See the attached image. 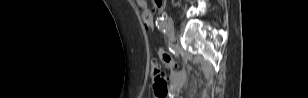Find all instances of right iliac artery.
I'll return each mask as SVG.
<instances>
[{"mask_svg": "<svg viewBox=\"0 0 308 98\" xmlns=\"http://www.w3.org/2000/svg\"><path fill=\"white\" fill-rule=\"evenodd\" d=\"M156 26H157L158 29H159L160 31H162L163 33L166 32L167 24H166V22H165V20H164L163 17L158 18V19L156 20Z\"/></svg>", "mask_w": 308, "mask_h": 98, "instance_id": "82829eb1", "label": "right iliac artery"}]
</instances>
